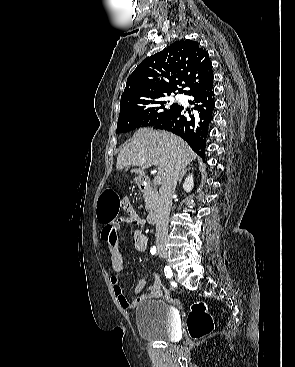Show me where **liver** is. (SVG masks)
<instances>
[{"label": "liver", "instance_id": "obj_1", "mask_svg": "<svg viewBox=\"0 0 295 367\" xmlns=\"http://www.w3.org/2000/svg\"><path fill=\"white\" fill-rule=\"evenodd\" d=\"M195 158L196 154L180 137L165 131L143 128L136 131L120 151L116 167L121 170L137 165L139 169H133L131 173L135 172L141 177L145 169L156 162L158 176L163 180L173 165L179 164L183 168Z\"/></svg>", "mask_w": 295, "mask_h": 367}]
</instances>
